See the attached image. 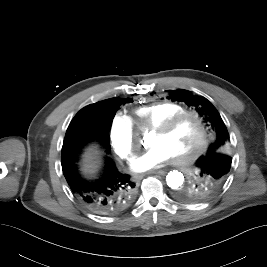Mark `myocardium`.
<instances>
[{"label":"myocardium","instance_id":"1","mask_svg":"<svg viewBox=\"0 0 267 267\" xmlns=\"http://www.w3.org/2000/svg\"><path fill=\"white\" fill-rule=\"evenodd\" d=\"M186 118H194L199 126H200V139L199 142L192 153L187 156L180 158H173V162L178 165H186L197 159L206 149L208 143V130L204 119L197 113L193 111H185L174 115L167 120L163 121L159 124L154 131L160 135L167 134L171 130H173L180 122H182Z\"/></svg>","mask_w":267,"mask_h":267}]
</instances>
